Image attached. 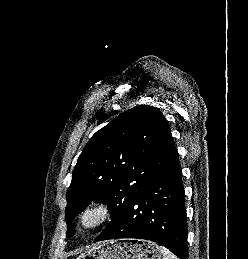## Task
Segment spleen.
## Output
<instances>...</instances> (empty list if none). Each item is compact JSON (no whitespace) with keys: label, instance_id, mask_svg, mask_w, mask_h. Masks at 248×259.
I'll use <instances>...</instances> for the list:
<instances>
[{"label":"spleen","instance_id":"obj_1","mask_svg":"<svg viewBox=\"0 0 248 259\" xmlns=\"http://www.w3.org/2000/svg\"><path fill=\"white\" fill-rule=\"evenodd\" d=\"M160 251L163 254V259H178L170 250L164 246H160Z\"/></svg>","mask_w":248,"mask_h":259}]
</instances>
